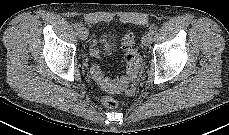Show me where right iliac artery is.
Masks as SVG:
<instances>
[{
    "mask_svg": "<svg viewBox=\"0 0 229 135\" xmlns=\"http://www.w3.org/2000/svg\"><path fill=\"white\" fill-rule=\"evenodd\" d=\"M76 30H81L82 29V24L76 23L75 26Z\"/></svg>",
    "mask_w": 229,
    "mask_h": 135,
    "instance_id": "1",
    "label": "right iliac artery"
}]
</instances>
